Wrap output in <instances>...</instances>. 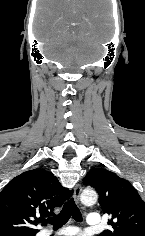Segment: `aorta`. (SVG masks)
<instances>
[{
	"label": "aorta",
	"instance_id": "obj_1",
	"mask_svg": "<svg viewBox=\"0 0 145 236\" xmlns=\"http://www.w3.org/2000/svg\"><path fill=\"white\" fill-rule=\"evenodd\" d=\"M98 195L94 190H84L81 193L80 200L84 205L90 206L97 202Z\"/></svg>",
	"mask_w": 145,
	"mask_h": 236
}]
</instances>
